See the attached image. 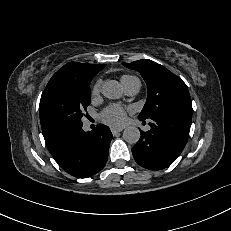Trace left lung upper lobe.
<instances>
[{
  "label": "left lung upper lobe",
  "mask_w": 231,
  "mask_h": 231,
  "mask_svg": "<svg viewBox=\"0 0 231 231\" xmlns=\"http://www.w3.org/2000/svg\"><path fill=\"white\" fill-rule=\"evenodd\" d=\"M123 65L140 72L147 84L148 96L138 116L140 120L151 119L161 112H176L192 116L191 98L181 78L149 59L123 63Z\"/></svg>",
  "instance_id": "obj_1"
}]
</instances>
